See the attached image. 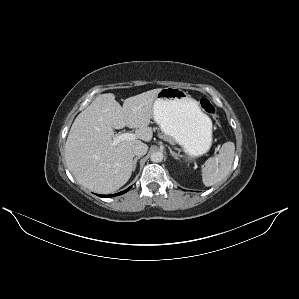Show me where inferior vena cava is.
Instances as JSON below:
<instances>
[{
	"mask_svg": "<svg viewBox=\"0 0 299 299\" xmlns=\"http://www.w3.org/2000/svg\"><path fill=\"white\" fill-rule=\"evenodd\" d=\"M147 151H148V146L144 143H140L134 147L133 154L135 156H143L147 153Z\"/></svg>",
	"mask_w": 299,
	"mask_h": 299,
	"instance_id": "obj_1",
	"label": "inferior vena cava"
}]
</instances>
